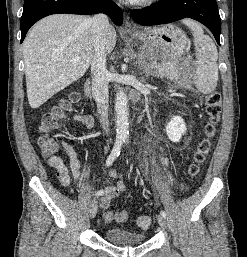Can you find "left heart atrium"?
<instances>
[{
	"label": "left heart atrium",
	"instance_id": "obj_1",
	"mask_svg": "<svg viewBox=\"0 0 247 257\" xmlns=\"http://www.w3.org/2000/svg\"><path fill=\"white\" fill-rule=\"evenodd\" d=\"M128 1H130V2H135V1H139V0H128Z\"/></svg>",
	"mask_w": 247,
	"mask_h": 257
}]
</instances>
